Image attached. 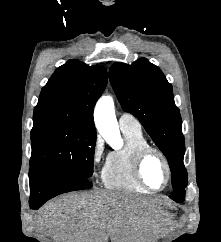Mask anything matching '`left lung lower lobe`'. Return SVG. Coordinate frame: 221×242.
<instances>
[{"instance_id":"0a47b994","label":"left lung lower lobe","mask_w":221,"mask_h":242,"mask_svg":"<svg viewBox=\"0 0 221 242\" xmlns=\"http://www.w3.org/2000/svg\"><path fill=\"white\" fill-rule=\"evenodd\" d=\"M171 199H173L176 202H183L184 201V195L181 193L175 194L170 196Z\"/></svg>"}]
</instances>
